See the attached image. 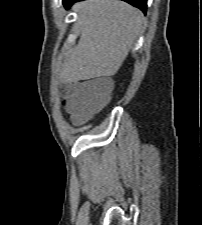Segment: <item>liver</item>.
Masks as SVG:
<instances>
[{
    "label": "liver",
    "instance_id": "obj_1",
    "mask_svg": "<svg viewBox=\"0 0 202 225\" xmlns=\"http://www.w3.org/2000/svg\"><path fill=\"white\" fill-rule=\"evenodd\" d=\"M80 39L63 65L64 82L113 76L143 28V13L120 0H88L74 6Z\"/></svg>",
    "mask_w": 202,
    "mask_h": 225
}]
</instances>
